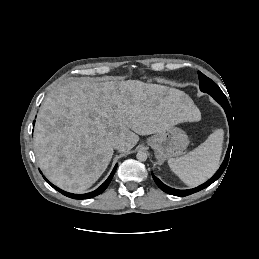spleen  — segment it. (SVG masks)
<instances>
[{"label":"spleen","instance_id":"spleen-1","mask_svg":"<svg viewBox=\"0 0 259 259\" xmlns=\"http://www.w3.org/2000/svg\"><path fill=\"white\" fill-rule=\"evenodd\" d=\"M223 139V129H217L205 142L188 154L169 159L170 169L189 186L205 182L219 167Z\"/></svg>","mask_w":259,"mask_h":259}]
</instances>
